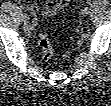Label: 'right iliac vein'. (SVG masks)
I'll return each mask as SVG.
<instances>
[{"instance_id":"63e3f726","label":"right iliac vein","mask_w":111,"mask_h":106,"mask_svg":"<svg viewBox=\"0 0 111 106\" xmlns=\"http://www.w3.org/2000/svg\"><path fill=\"white\" fill-rule=\"evenodd\" d=\"M22 20H23V22H24L25 24H28V23H29V19H28V18H23Z\"/></svg>"}]
</instances>
